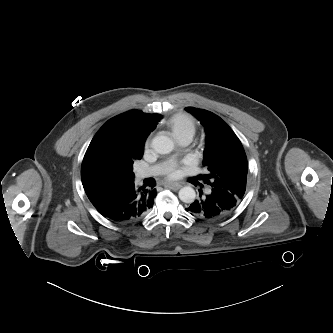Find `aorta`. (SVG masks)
Returning <instances> with one entry per match:
<instances>
[{"mask_svg":"<svg viewBox=\"0 0 333 333\" xmlns=\"http://www.w3.org/2000/svg\"><path fill=\"white\" fill-rule=\"evenodd\" d=\"M152 147L159 154H168L174 149V143L167 136H157L152 141ZM195 197L196 192L190 186L183 187L179 190V198L184 203H193Z\"/></svg>","mask_w":333,"mask_h":333,"instance_id":"obj_1","label":"aorta"}]
</instances>
